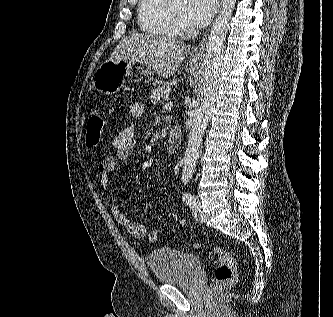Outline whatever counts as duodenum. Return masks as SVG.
Instances as JSON below:
<instances>
[{"label":"duodenum","instance_id":"410a0bca","mask_svg":"<svg viewBox=\"0 0 333 317\" xmlns=\"http://www.w3.org/2000/svg\"><path fill=\"white\" fill-rule=\"evenodd\" d=\"M182 130L178 125H174L168 135L167 152L169 155H175L181 145Z\"/></svg>","mask_w":333,"mask_h":317}]
</instances>
